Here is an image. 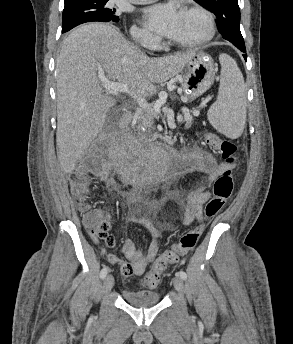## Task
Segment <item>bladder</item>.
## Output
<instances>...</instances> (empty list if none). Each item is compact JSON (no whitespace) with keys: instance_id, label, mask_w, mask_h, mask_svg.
I'll return each instance as SVG.
<instances>
[{"instance_id":"obj_1","label":"bladder","mask_w":293,"mask_h":344,"mask_svg":"<svg viewBox=\"0 0 293 344\" xmlns=\"http://www.w3.org/2000/svg\"><path fill=\"white\" fill-rule=\"evenodd\" d=\"M124 300L139 308L152 307L160 302V294L158 292L146 290H122Z\"/></svg>"}]
</instances>
